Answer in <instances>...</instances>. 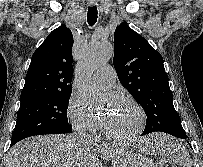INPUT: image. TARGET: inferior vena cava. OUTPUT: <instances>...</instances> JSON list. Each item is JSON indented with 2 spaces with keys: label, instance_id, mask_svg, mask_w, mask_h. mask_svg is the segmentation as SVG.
<instances>
[{
  "label": "inferior vena cava",
  "instance_id": "602c4592",
  "mask_svg": "<svg viewBox=\"0 0 203 167\" xmlns=\"http://www.w3.org/2000/svg\"><path fill=\"white\" fill-rule=\"evenodd\" d=\"M74 139L80 144H90L91 139L89 135L83 131H79L73 135Z\"/></svg>",
  "mask_w": 203,
  "mask_h": 167
}]
</instances>
